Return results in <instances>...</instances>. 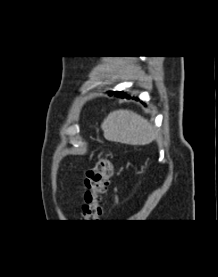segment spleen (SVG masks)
<instances>
[{
	"label": "spleen",
	"mask_w": 218,
	"mask_h": 277,
	"mask_svg": "<svg viewBox=\"0 0 218 277\" xmlns=\"http://www.w3.org/2000/svg\"><path fill=\"white\" fill-rule=\"evenodd\" d=\"M101 128L106 140L128 145H146L157 136L147 119L130 110L110 112Z\"/></svg>",
	"instance_id": "1"
}]
</instances>
